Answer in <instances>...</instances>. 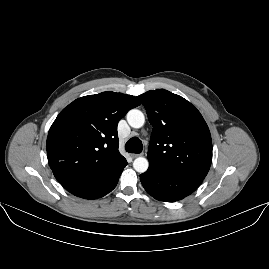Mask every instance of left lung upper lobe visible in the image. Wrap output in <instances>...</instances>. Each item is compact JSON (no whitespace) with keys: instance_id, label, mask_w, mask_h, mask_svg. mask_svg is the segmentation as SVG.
Returning <instances> with one entry per match:
<instances>
[{"instance_id":"left-lung-upper-lobe-1","label":"left lung upper lobe","mask_w":269,"mask_h":269,"mask_svg":"<svg viewBox=\"0 0 269 269\" xmlns=\"http://www.w3.org/2000/svg\"><path fill=\"white\" fill-rule=\"evenodd\" d=\"M138 99L153 126L149 166L204 179L212 162V140L200 112L164 89L148 91Z\"/></svg>"}]
</instances>
